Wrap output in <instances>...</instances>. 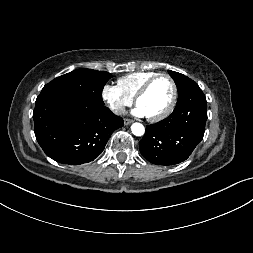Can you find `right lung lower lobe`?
Masks as SVG:
<instances>
[{
    "mask_svg": "<svg viewBox=\"0 0 253 253\" xmlns=\"http://www.w3.org/2000/svg\"><path fill=\"white\" fill-rule=\"evenodd\" d=\"M35 136L47 156L69 165L93 161L123 119L93 101L40 93L33 111Z\"/></svg>",
    "mask_w": 253,
    "mask_h": 253,
    "instance_id": "98d812e1",
    "label": "right lung lower lobe"
}]
</instances>
